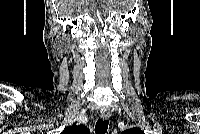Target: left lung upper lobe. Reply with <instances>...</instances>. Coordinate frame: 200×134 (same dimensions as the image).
I'll return each mask as SVG.
<instances>
[{"label": "left lung upper lobe", "mask_w": 200, "mask_h": 134, "mask_svg": "<svg viewBox=\"0 0 200 134\" xmlns=\"http://www.w3.org/2000/svg\"><path fill=\"white\" fill-rule=\"evenodd\" d=\"M123 134H144V132L139 128H133L123 132Z\"/></svg>", "instance_id": "5c2ea615"}]
</instances>
